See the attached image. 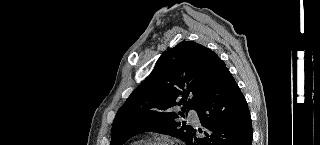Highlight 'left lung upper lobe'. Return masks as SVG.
<instances>
[{
    "mask_svg": "<svg viewBox=\"0 0 320 145\" xmlns=\"http://www.w3.org/2000/svg\"><path fill=\"white\" fill-rule=\"evenodd\" d=\"M218 60L215 52L194 41H182L164 52L150 76L117 112L110 145H123L147 131L177 137L186 143L194 129L177 119L184 117L185 109L198 111L201 85ZM176 105H183V112H173Z\"/></svg>",
    "mask_w": 320,
    "mask_h": 145,
    "instance_id": "left-lung-upper-lobe-1",
    "label": "left lung upper lobe"
}]
</instances>
